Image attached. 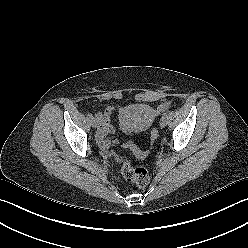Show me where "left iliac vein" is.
<instances>
[{
	"mask_svg": "<svg viewBox=\"0 0 248 248\" xmlns=\"http://www.w3.org/2000/svg\"><path fill=\"white\" fill-rule=\"evenodd\" d=\"M167 125V119L166 117H162L160 119V127L164 128Z\"/></svg>",
	"mask_w": 248,
	"mask_h": 248,
	"instance_id": "obj_1",
	"label": "left iliac vein"
}]
</instances>
